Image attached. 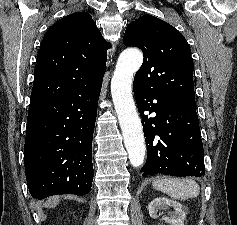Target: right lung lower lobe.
Segmentation results:
<instances>
[{"label": "right lung lower lobe", "instance_id": "obj_1", "mask_svg": "<svg viewBox=\"0 0 237 225\" xmlns=\"http://www.w3.org/2000/svg\"><path fill=\"white\" fill-rule=\"evenodd\" d=\"M102 81L54 100L30 103L24 146L32 197L85 195L93 181L92 140Z\"/></svg>", "mask_w": 237, "mask_h": 225}]
</instances>
